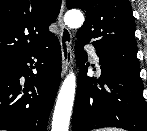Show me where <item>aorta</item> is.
I'll list each match as a JSON object with an SVG mask.
<instances>
[{
  "mask_svg": "<svg viewBox=\"0 0 147 131\" xmlns=\"http://www.w3.org/2000/svg\"><path fill=\"white\" fill-rule=\"evenodd\" d=\"M66 25L70 28H80L84 16L78 10H70L64 16ZM76 90V77L71 72L64 80L58 94L52 121V131H68Z\"/></svg>",
  "mask_w": 147,
  "mask_h": 131,
  "instance_id": "1",
  "label": "aorta"
}]
</instances>
